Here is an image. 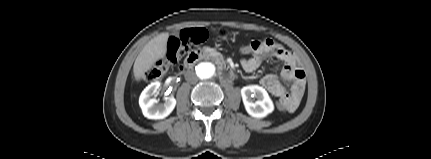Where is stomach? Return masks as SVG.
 I'll use <instances>...</instances> for the list:
<instances>
[{"label": "stomach", "mask_w": 431, "mask_h": 159, "mask_svg": "<svg viewBox=\"0 0 431 159\" xmlns=\"http://www.w3.org/2000/svg\"><path fill=\"white\" fill-rule=\"evenodd\" d=\"M221 35H222L221 36L222 38H226L227 37L226 34L224 33V31H222Z\"/></svg>", "instance_id": "0dacf381"}]
</instances>
